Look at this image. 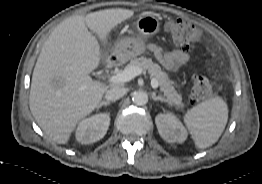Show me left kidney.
<instances>
[{"label": "left kidney", "mask_w": 262, "mask_h": 184, "mask_svg": "<svg viewBox=\"0 0 262 184\" xmlns=\"http://www.w3.org/2000/svg\"><path fill=\"white\" fill-rule=\"evenodd\" d=\"M155 123L160 136L169 143H182L187 139L188 133L183 124L171 113L159 114Z\"/></svg>", "instance_id": "obj_1"}]
</instances>
